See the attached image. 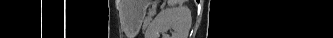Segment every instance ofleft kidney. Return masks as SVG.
<instances>
[{
    "mask_svg": "<svg viewBox=\"0 0 333 38\" xmlns=\"http://www.w3.org/2000/svg\"><path fill=\"white\" fill-rule=\"evenodd\" d=\"M192 23L191 11L179 5L163 9L152 21L148 38H187ZM171 31V36L166 33Z\"/></svg>",
    "mask_w": 333,
    "mask_h": 38,
    "instance_id": "1",
    "label": "left kidney"
}]
</instances>
